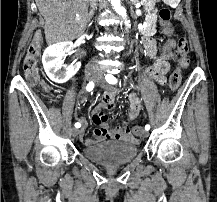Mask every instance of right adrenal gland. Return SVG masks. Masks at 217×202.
I'll use <instances>...</instances> for the list:
<instances>
[{
    "instance_id": "right-adrenal-gland-1",
    "label": "right adrenal gland",
    "mask_w": 217,
    "mask_h": 202,
    "mask_svg": "<svg viewBox=\"0 0 217 202\" xmlns=\"http://www.w3.org/2000/svg\"><path fill=\"white\" fill-rule=\"evenodd\" d=\"M95 10H96V6H93L92 10H90V12L88 14V20H91V18H93L94 14H95Z\"/></svg>"
}]
</instances>
